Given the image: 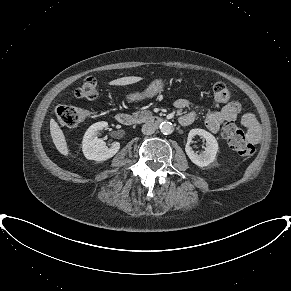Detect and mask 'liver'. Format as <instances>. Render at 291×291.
<instances>
[{
	"label": "liver",
	"instance_id": "6515ba94",
	"mask_svg": "<svg viewBox=\"0 0 291 291\" xmlns=\"http://www.w3.org/2000/svg\"><path fill=\"white\" fill-rule=\"evenodd\" d=\"M143 78L138 76H128L118 78L109 82L110 85H129L141 81ZM50 133L56 149L64 156L69 154L65 136L57 122L52 118L50 120Z\"/></svg>",
	"mask_w": 291,
	"mask_h": 291
}]
</instances>
